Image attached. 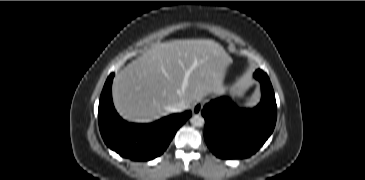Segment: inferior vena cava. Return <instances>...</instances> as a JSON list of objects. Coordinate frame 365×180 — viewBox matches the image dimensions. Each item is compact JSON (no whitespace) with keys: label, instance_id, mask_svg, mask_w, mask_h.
Here are the masks:
<instances>
[{"label":"inferior vena cava","instance_id":"1","mask_svg":"<svg viewBox=\"0 0 365 180\" xmlns=\"http://www.w3.org/2000/svg\"><path fill=\"white\" fill-rule=\"evenodd\" d=\"M185 109H186V104L184 102H179L175 106L169 108L171 112H181Z\"/></svg>","mask_w":365,"mask_h":180}]
</instances>
